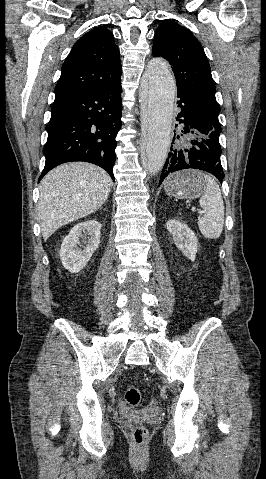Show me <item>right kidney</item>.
Masks as SVG:
<instances>
[{
    "label": "right kidney",
    "instance_id": "right-kidney-1",
    "mask_svg": "<svg viewBox=\"0 0 266 479\" xmlns=\"http://www.w3.org/2000/svg\"><path fill=\"white\" fill-rule=\"evenodd\" d=\"M83 231H86L90 236L88 240L82 234ZM100 234L101 224L96 220H88L76 224L61 244L59 256L63 267L71 273H77L82 270L87 265L94 251L99 247ZM80 238H82V242L85 245L83 250L77 247V245H80Z\"/></svg>",
    "mask_w": 266,
    "mask_h": 479
}]
</instances>
